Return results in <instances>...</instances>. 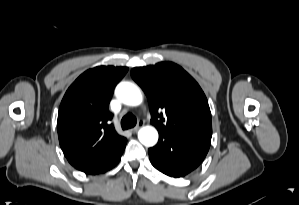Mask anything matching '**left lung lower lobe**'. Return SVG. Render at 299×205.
I'll list each match as a JSON object with an SVG mask.
<instances>
[{
  "label": "left lung lower lobe",
  "mask_w": 299,
  "mask_h": 205,
  "mask_svg": "<svg viewBox=\"0 0 299 205\" xmlns=\"http://www.w3.org/2000/svg\"><path fill=\"white\" fill-rule=\"evenodd\" d=\"M211 140L177 134L159 135L156 146L148 150L152 165L171 177H182L204 160Z\"/></svg>",
  "instance_id": "obj_1"
}]
</instances>
